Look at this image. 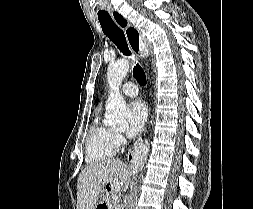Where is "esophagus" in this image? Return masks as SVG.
Listing matches in <instances>:
<instances>
[{"instance_id": "esophagus-1", "label": "esophagus", "mask_w": 253, "mask_h": 209, "mask_svg": "<svg viewBox=\"0 0 253 209\" xmlns=\"http://www.w3.org/2000/svg\"><path fill=\"white\" fill-rule=\"evenodd\" d=\"M111 16H112L113 20L115 21V23L120 28H124L130 48L134 52L136 58L139 60L143 59L144 49H145L146 45H145V41H144L141 33L139 32V30L135 26L131 25L129 20L118 11H112ZM139 144H140V142L137 141L134 144L133 149H131L128 152L127 159L132 164H134V159H133L134 152L136 151Z\"/></svg>"}]
</instances>
